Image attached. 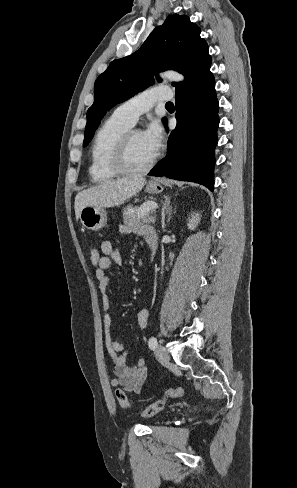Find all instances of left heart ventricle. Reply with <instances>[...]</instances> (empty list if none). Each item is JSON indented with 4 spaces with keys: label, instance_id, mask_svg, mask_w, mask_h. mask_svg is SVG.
<instances>
[{
    "label": "left heart ventricle",
    "instance_id": "obj_1",
    "mask_svg": "<svg viewBox=\"0 0 297 488\" xmlns=\"http://www.w3.org/2000/svg\"><path fill=\"white\" fill-rule=\"evenodd\" d=\"M154 153L146 144L142 132L136 131L132 137L128 149V164L139 168L147 165L154 157Z\"/></svg>",
    "mask_w": 297,
    "mask_h": 488
}]
</instances>
